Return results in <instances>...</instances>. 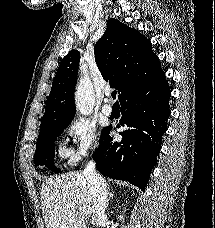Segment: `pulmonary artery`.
<instances>
[{
    "mask_svg": "<svg viewBox=\"0 0 215 228\" xmlns=\"http://www.w3.org/2000/svg\"><path fill=\"white\" fill-rule=\"evenodd\" d=\"M104 101H105V104L102 107V112H103V114L109 116L113 112V108H112V105H111L112 97H111V93L110 92H107Z\"/></svg>",
    "mask_w": 215,
    "mask_h": 228,
    "instance_id": "1",
    "label": "pulmonary artery"
}]
</instances>
